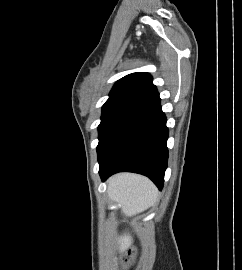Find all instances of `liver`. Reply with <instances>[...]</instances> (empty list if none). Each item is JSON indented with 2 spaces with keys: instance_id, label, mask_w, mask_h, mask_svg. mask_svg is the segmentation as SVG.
<instances>
[{
  "instance_id": "obj_1",
  "label": "liver",
  "mask_w": 242,
  "mask_h": 270,
  "mask_svg": "<svg viewBox=\"0 0 242 270\" xmlns=\"http://www.w3.org/2000/svg\"><path fill=\"white\" fill-rule=\"evenodd\" d=\"M108 195L112 201L121 203L123 213L131 217L152 206L157 200L158 191L144 176L120 173L109 179ZM132 241L130 235H124L119 240L120 247L125 249Z\"/></svg>"
}]
</instances>
